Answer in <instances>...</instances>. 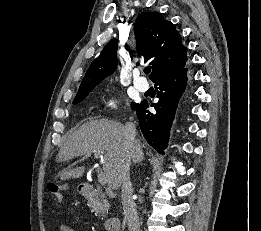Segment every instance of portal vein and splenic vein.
Listing matches in <instances>:
<instances>
[{"mask_svg":"<svg viewBox=\"0 0 261 231\" xmlns=\"http://www.w3.org/2000/svg\"><path fill=\"white\" fill-rule=\"evenodd\" d=\"M102 151H95L93 152L94 156L96 158H102ZM87 156H90V154H87ZM98 181L101 185L107 184V178L103 172L98 173Z\"/></svg>","mask_w":261,"mask_h":231,"instance_id":"1","label":"portal vein and splenic vein"}]
</instances>
